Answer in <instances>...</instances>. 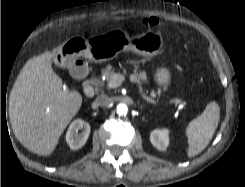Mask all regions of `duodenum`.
Segmentation results:
<instances>
[{
    "label": "duodenum",
    "mask_w": 245,
    "mask_h": 187,
    "mask_svg": "<svg viewBox=\"0 0 245 187\" xmlns=\"http://www.w3.org/2000/svg\"><path fill=\"white\" fill-rule=\"evenodd\" d=\"M81 69L85 70L86 69V65L85 64H81ZM85 90H86V94L88 96H91L93 93V86L91 82H87L86 86H85Z\"/></svg>",
    "instance_id": "obj_1"
}]
</instances>
